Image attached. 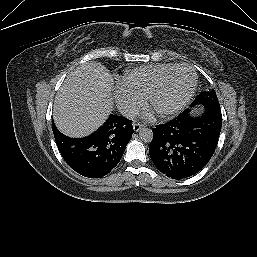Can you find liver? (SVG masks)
Masks as SVG:
<instances>
[{
  "label": "liver",
  "instance_id": "liver-1",
  "mask_svg": "<svg viewBox=\"0 0 257 257\" xmlns=\"http://www.w3.org/2000/svg\"><path fill=\"white\" fill-rule=\"evenodd\" d=\"M113 79L99 62L89 61L68 74L54 102L57 128L70 137L96 131L113 110Z\"/></svg>",
  "mask_w": 257,
  "mask_h": 257
}]
</instances>
